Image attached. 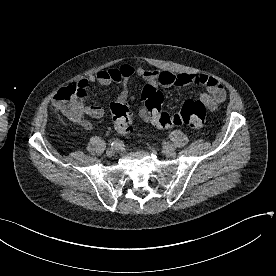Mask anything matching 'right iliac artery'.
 I'll return each instance as SVG.
<instances>
[{"label": "right iliac artery", "mask_w": 276, "mask_h": 276, "mask_svg": "<svg viewBox=\"0 0 276 276\" xmlns=\"http://www.w3.org/2000/svg\"><path fill=\"white\" fill-rule=\"evenodd\" d=\"M111 145L113 146V147H119V148H122L124 145L122 144V142L120 141V140H114V141H112V143H111Z\"/></svg>", "instance_id": "1"}]
</instances>
